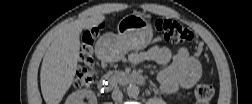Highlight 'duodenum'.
<instances>
[{
    "instance_id": "duodenum-1",
    "label": "duodenum",
    "mask_w": 252,
    "mask_h": 104,
    "mask_svg": "<svg viewBox=\"0 0 252 104\" xmlns=\"http://www.w3.org/2000/svg\"><path fill=\"white\" fill-rule=\"evenodd\" d=\"M146 82L142 75L130 74V73H110L105 75L100 81V88L107 90L114 88L118 84L124 85H144Z\"/></svg>"
}]
</instances>
